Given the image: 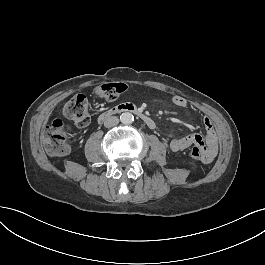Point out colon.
I'll list each match as a JSON object with an SVG mask.
<instances>
[{
  "label": "colon",
  "mask_w": 265,
  "mask_h": 265,
  "mask_svg": "<svg viewBox=\"0 0 265 265\" xmlns=\"http://www.w3.org/2000/svg\"><path fill=\"white\" fill-rule=\"evenodd\" d=\"M126 91V85L105 84L97 86L94 93L102 99L114 101L118 99L121 94ZM64 114L72 120L76 125L85 127L91 120L89 113V102L85 94L76 93L72 99L64 106ZM70 123L63 118L55 119L48 127H46L42 134V143L45 152L51 156L63 155L69 152L70 147L67 143L69 136ZM195 145L190 148V154L194 159L200 160V151Z\"/></svg>",
  "instance_id": "obj_1"
}]
</instances>
